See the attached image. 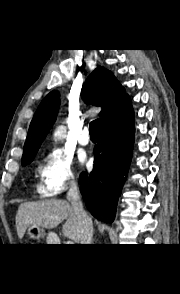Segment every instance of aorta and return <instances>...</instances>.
I'll list each match as a JSON object with an SVG mask.
<instances>
[{
    "mask_svg": "<svg viewBox=\"0 0 180 294\" xmlns=\"http://www.w3.org/2000/svg\"><path fill=\"white\" fill-rule=\"evenodd\" d=\"M65 129L63 127H58L54 133V137L60 139L64 136Z\"/></svg>",
    "mask_w": 180,
    "mask_h": 294,
    "instance_id": "aorta-1",
    "label": "aorta"
}]
</instances>
